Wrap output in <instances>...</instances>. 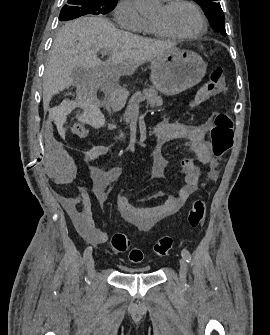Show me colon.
I'll return each instance as SVG.
<instances>
[{
    "mask_svg": "<svg viewBox=\"0 0 270 335\" xmlns=\"http://www.w3.org/2000/svg\"><path fill=\"white\" fill-rule=\"evenodd\" d=\"M224 87V70L221 67L214 68L206 81L200 88L192 102V106L203 102L216 94H219ZM75 134L79 138H85L88 132L84 128H78ZM212 153L216 158L224 157L233 144V124L227 113H218L213 121L210 132ZM205 218V203L203 199L196 198L187 214L186 223L191 227H199ZM174 239L171 236L162 237L152 248V255L162 257L167 255L173 248ZM110 247L117 253L129 252V261L133 264H140L144 261V253L137 248H130V241L123 232L115 233L110 241Z\"/></svg>",
    "mask_w": 270,
    "mask_h": 335,
    "instance_id": "5ec220e1",
    "label": "colon"
}]
</instances>
